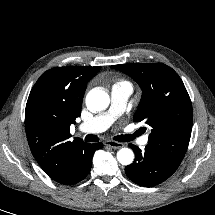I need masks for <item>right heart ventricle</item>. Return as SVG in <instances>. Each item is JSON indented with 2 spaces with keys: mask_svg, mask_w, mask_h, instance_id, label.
I'll return each instance as SVG.
<instances>
[{
  "mask_svg": "<svg viewBox=\"0 0 215 215\" xmlns=\"http://www.w3.org/2000/svg\"><path fill=\"white\" fill-rule=\"evenodd\" d=\"M119 84H128L126 81H118L115 83V85H119Z\"/></svg>",
  "mask_w": 215,
  "mask_h": 215,
  "instance_id": "1",
  "label": "right heart ventricle"
}]
</instances>
